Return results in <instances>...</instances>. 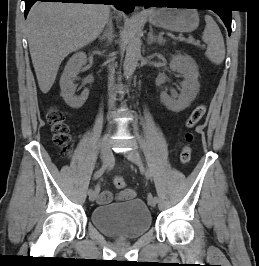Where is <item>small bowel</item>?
<instances>
[{"mask_svg": "<svg viewBox=\"0 0 259 266\" xmlns=\"http://www.w3.org/2000/svg\"><path fill=\"white\" fill-rule=\"evenodd\" d=\"M136 196V193L133 189H125L122 190L118 195L117 198L119 200H130ZM112 200V193L108 190H105L99 194L97 197V202L99 204H107Z\"/></svg>", "mask_w": 259, "mask_h": 266, "instance_id": "c3829d8e", "label": "small bowel"}]
</instances>
